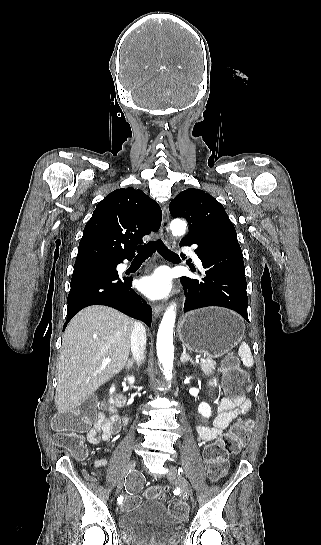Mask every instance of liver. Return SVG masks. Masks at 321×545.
<instances>
[{
	"instance_id": "6515ba94",
	"label": "liver",
	"mask_w": 321,
	"mask_h": 545,
	"mask_svg": "<svg viewBox=\"0 0 321 545\" xmlns=\"http://www.w3.org/2000/svg\"><path fill=\"white\" fill-rule=\"evenodd\" d=\"M133 325L126 315L101 305L83 309L70 321L57 367L58 413H71L124 369Z\"/></svg>"
}]
</instances>
